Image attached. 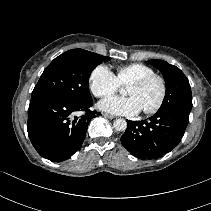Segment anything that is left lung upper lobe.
I'll use <instances>...</instances> for the list:
<instances>
[{
    "label": "left lung upper lobe",
    "mask_w": 211,
    "mask_h": 211,
    "mask_svg": "<svg viewBox=\"0 0 211 211\" xmlns=\"http://www.w3.org/2000/svg\"><path fill=\"white\" fill-rule=\"evenodd\" d=\"M148 62L161 71L166 82V95L159 110L175 108L190 113L192 94L184 73L166 61L149 60Z\"/></svg>",
    "instance_id": "obj_1"
}]
</instances>
